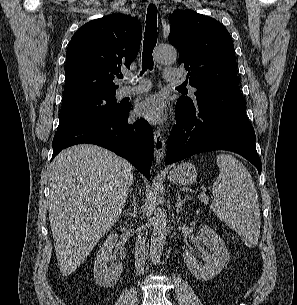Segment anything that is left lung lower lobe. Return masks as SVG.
Returning <instances> with one entry per match:
<instances>
[{"label": "left lung lower lobe", "mask_w": 297, "mask_h": 305, "mask_svg": "<svg viewBox=\"0 0 297 305\" xmlns=\"http://www.w3.org/2000/svg\"><path fill=\"white\" fill-rule=\"evenodd\" d=\"M175 119L167 144V164L201 152L228 150L246 158L261 173L255 132L239 86L218 91L193 105L177 101Z\"/></svg>", "instance_id": "1"}]
</instances>
